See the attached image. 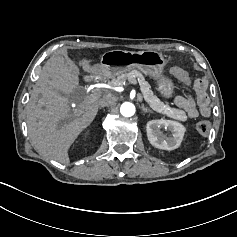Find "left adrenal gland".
I'll return each mask as SVG.
<instances>
[{
  "label": "left adrenal gland",
  "mask_w": 237,
  "mask_h": 237,
  "mask_svg": "<svg viewBox=\"0 0 237 237\" xmlns=\"http://www.w3.org/2000/svg\"><path fill=\"white\" fill-rule=\"evenodd\" d=\"M141 109L143 110V112L147 113V112H152L149 108L145 107L144 104L141 105Z\"/></svg>",
  "instance_id": "1"
}]
</instances>
